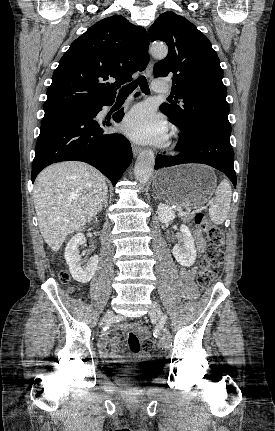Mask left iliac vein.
<instances>
[{
  "mask_svg": "<svg viewBox=\"0 0 275 431\" xmlns=\"http://www.w3.org/2000/svg\"><path fill=\"white\" fill-rule=\"evenodd\" d=\"M149 316L152 320L158 323L159 329L162 331V345L165 349L169 348L171 343V335L166 326V319L163 315L161 307L157 301L152 302L151 309L149 311Z\"/></svg>",
  "mask_w": 275,
  "mask_h": 431,
  "instance_id": "left-iliac-vein-1",
  "label": "left iliac vein"
}]
</instances>
